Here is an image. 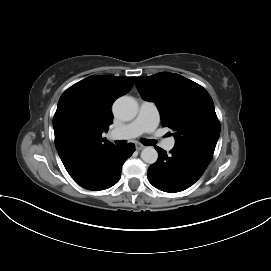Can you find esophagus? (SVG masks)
Masks as SVG:
<instances>
[{"label": "esophagus", "mask_w": 271, "mask_h": 271, "mask_svg": "<svg viewBox=\"0 0 271 271\" xmlns=\"http://www.w3.org/2000/svg\"><path fill=\"white\" fill-rule=\"evenodd\" d=\"M144 148H145L144 145H142V144H140V143H137V144H136V149H137L138 151H140V150H142V149H144Z\"/></svg>", "instance_id": "34e87169"}]
</instances>
